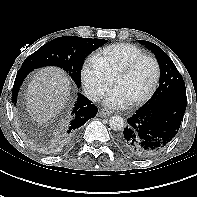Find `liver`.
Listing matches in <instances>:
<instances>
[{"label": "liver", "mask_w": 197, "mask_h": 197, "mask_svg": "<svg viewBox=\"0 0 197 197\" xmlns=\"http://www.w3.org/2000/svg\"><path fill=\"white\" fill-rule=\"evenodd\" d=\"M70 80L63 70L45 67L33 75L26 91V106L39 124L48 123L66 104Z\"/></svg>", "instance_id": "6515ba94"}]
</instances>
